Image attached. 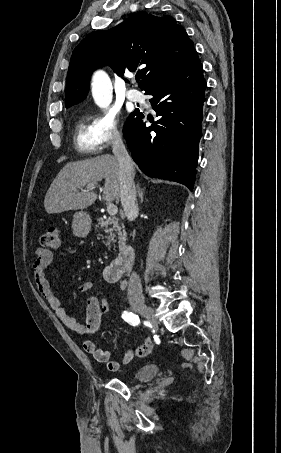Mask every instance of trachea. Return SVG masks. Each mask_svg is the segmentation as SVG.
Segmentation results:
<instances>
[{
	"label": "trachea",
	"mask_w": 281,
	"mask_h": 453,
	"mask_svg": "<svg viewBox=\"0 0 281 453\" xmlns=\"http://www.w3.org/2000/svg\"><path fill=\"white\" fill-rule=\"evenodd\" d=\"M139 80H140V76H139V77L137 76V77H136V82L138 83Z\"/></svg>",
	"instance_id": "3493384b"
}]
</instances>
